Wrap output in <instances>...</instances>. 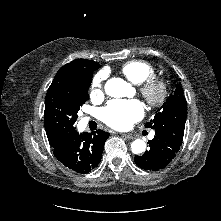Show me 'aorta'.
Wrapping results in <instances>:
<instances>
[{
	"mask_svg": "<svg viewBox=\"0 0 221 221\" xmlns=\"http://www.w3.org/2000/svg\"><path fill=\"white\" fill-rule=\"evenodd\" d=\"M130 86L121 78H111L105 84V92L107 95L119 98L126 96ZM131 149L134 154H141L146 149V144L141 139H136L131 144Z\"/></svg>",
	"mask_w": 221,
	"mask_h": 221,
	"instance_id": "obj_1",
	"label": "aorta"
}]
</instances>
